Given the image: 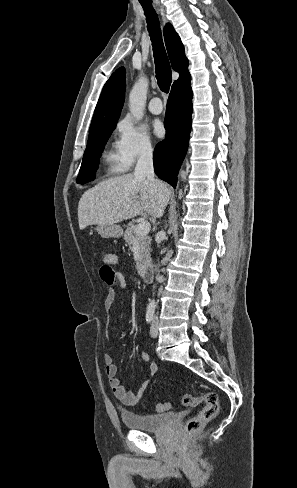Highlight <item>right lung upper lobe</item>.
<instances>
[{
	"mask_svg": "<svg viewBox=\"0 0 297 488\" xmlns=\"http://www.w3.org/2000/svg\"><path fill=\"white\" fill-rule=\"evenodd\" d=\"M165 44L172 68L179 72V79L191 78L188 72V60L185 56L184 46L171 24L164 30ZM125 68H119L106 82L95 108L89 132L103 125H116L125 97Z\"/></svg>",
	"mask_w": 297,
	"mask_h": 488,
	"instance_id": "cb5924a9",
	"label": "right lung upper lobe"
}]
</instances>
